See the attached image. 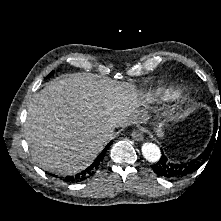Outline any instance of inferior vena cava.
I'll return each instance as SVG.
<instances>
[{
  "label": "inferior vena cava",
  "mask_w": 221,
  "mask_h": 221,
  "mask_svg": "<svg viewBox=\"0 0 221 221\" xmlns=\"http://www.w3.org/2000/svg\"><path fill=\"white\" fill-rule=\"evenodd\" d=\"M115 135H116V132L113 128L107 129L103 134L104 138L108 139V140L113 139L115 137Z\"/></svg>",
  "instance_id": "obj_1"
}]
</instances>
